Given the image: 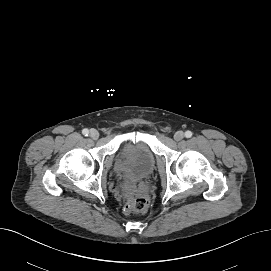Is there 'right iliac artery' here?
<instances>
[{"label":"right iliac artery","instance_id":"82829eb1","mask_svg":"<svg viewBox=\"0 0 271 271\" xmlns=\"http://www.w3.org/2000/svg\"><path fill=\"white\" fill-rule=\"evenodd\" d=\"M82 133H83V135L88 136L89 131H88V129H83V130H82Z\"/></svg>","mask_w":271,"mask_h":271}]
</instances>
